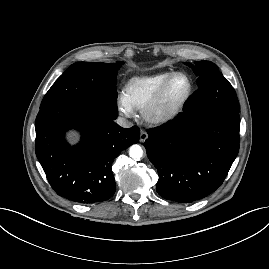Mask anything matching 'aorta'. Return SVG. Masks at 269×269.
Instances as JSON below:
<instances>
[{"label":"aorta","instance_id":"1","mask_svg":"<svg viewBox=\"0 0 269 269\" xmlns=\"http://www.w3.org/2000/svg\"><path fill=\"white\" fill-rule=\"evenodd\" d=\"M129 156L135 160L138 161L143 156V149L140 145L134 144L129 148Z\"/></svg>","mask_w":269,"mask_h":269}]
</instances>
